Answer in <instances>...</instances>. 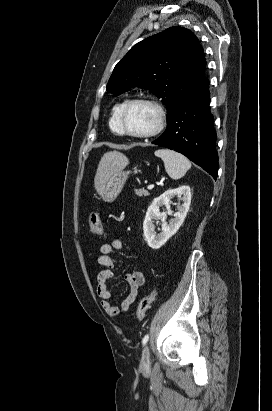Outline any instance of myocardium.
Wrapping results in <instances>:
<instances>
[{"mask_svg":"<svg viewBox=\"0 0 272 411\" xmlns=\"http://www.w3.org/2000/svg\"><path fill=\"white\" fill-rule=\"evenodd\" d=\"M135 104L147 105L155 111L156 122L151 130L146 131V132H141V133H134L125 128L124 116L127 110ZM118 123H119V127H120L122 135H126L131 138H135V139H149L162 132V130L165 127V123H166V115H165V111L163 107L157 101L149 99V98H133V99L126 101L123 107L121 108L119 112V116H118Z\"/></svg>","mask_w":272,"mask_h":411,"instance_id":"1","label":"myocardium"}]
</instances>
